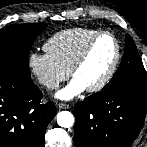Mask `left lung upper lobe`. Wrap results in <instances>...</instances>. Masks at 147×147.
I'll list each match as a JSON object with an SVG mask.
<instances>
[{
	"label": "left lung upper lobe",
	"mask_w": 147,
	"mask_h": 147,
	"mask_svg": "<svg viewBox=\"0 0 147 147\" xmlns=\"http://www.w3.org/2000/svg\"><path fill=\"white\" fill-rule=\"evenodd\" d=\"M123 60L113 78L102 90L136 85L147 87L146 72L132 38L127 34Z\"/></svg>",
	"instance_id": "obj_1"
}]
</instances>
